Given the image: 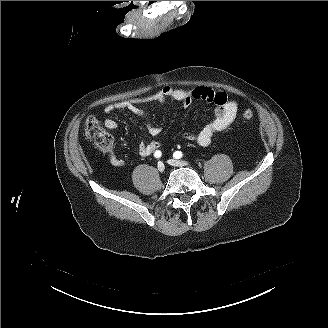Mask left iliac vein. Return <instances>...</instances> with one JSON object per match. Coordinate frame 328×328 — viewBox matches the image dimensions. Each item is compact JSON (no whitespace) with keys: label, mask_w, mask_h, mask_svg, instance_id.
<instances>
[{"label":"left iliac vein","mask_w":328,"mask_h":328,"mask_svg":"<svg viewBox=\"0 0 328 328\" xmlns=\"http://www.w3.org/2000/svg\"><path fill=\"white\" fill-rule=\"evenodd\" d=\"M168 163H169L170 165L178 166V167H182V166H186V165H188V163H187L186 161H183V160H176V159L168 160Z\"/></svg>","instance_id":"1"}]
</instances>
